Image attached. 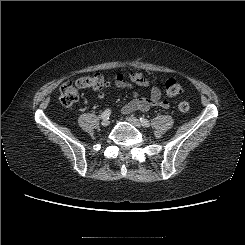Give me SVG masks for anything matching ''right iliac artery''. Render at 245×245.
<instances>
[{
  "label": "right iliac artery",
  "mask_w": 245,
  "mask_h": 245,
  "mask_svg": "<svg viewBox=\"0 0 245 245\" xmlns=\"http://www.w3.org/2000/svg\"><path fill=\"white\" fill-rule=\"evenodd\" d=\"M110 114H111V110H110V109H106V110L101 114V117H100V118H102V119H104V118H109Z\"/></svg>",
  "instance_id": "82829eb1"
}]
</instances>
